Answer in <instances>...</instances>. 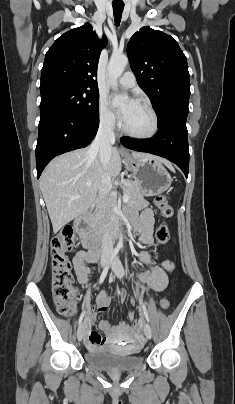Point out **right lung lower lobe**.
I'll use <instances>...</instances> for the list:
<instances>
[{
	"instance_id": "obj_1",
	"label": "right lung lower lobe",
	"mask_w": 235,
	"mask_h": 404,
	"mask_svg": "<svg viewBox=\"0 0 235 404\" xmlns=\"http://www.w3.org/2000/svg\"><path fill=\"white\" fill-rule=\"evenodd\" d=\"M98 126V112L90 117L63 112L41 114L36 146L37 178L55 156L86 147L96 135Z\"/></svg>"
}]
</instances>
